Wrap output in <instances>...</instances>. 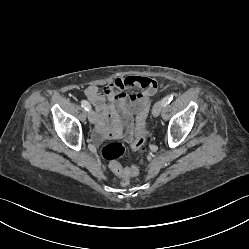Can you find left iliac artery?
Returning a JSON list of instances; mask_svg holds the SVG:
<instances>
[{"mask_svg":"<svg viewBox=\"0 0 249 249\" xmlns=\"http://www.w3.org/2000/svg\"><path fill=\"white\" fill-rule=\"evenodd\" d=\"M172 99H173V95L166 96L162 100L163 106L165 107L167 104H169L172 101Z\"/></svg>","mask_w":249,"mask_h":249,"instance_id":"left-iliac-artery-1","label":"left iliac artery"}]
</instances>
